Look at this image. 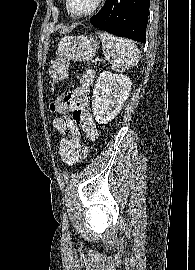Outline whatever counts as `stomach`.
Instances as JSON below:
<instances>
[{
  "label": "stomach",
  "instance_id": "obj_1",
  "mask_svg": "<svg viewBox=\"0 0 195 270\" xmlns=\"http://www.w3.org/2000/svg\"><path fill=\"white\" fill-rule=\"evenodd\" d=\"M98 49L93 36H67L58 44V58L52 63V80L57 83L67 77L69 61H88Z\"/></svg>",
  "mask_w": 195,
  "mask_h": 270
}]
</instances>
